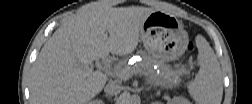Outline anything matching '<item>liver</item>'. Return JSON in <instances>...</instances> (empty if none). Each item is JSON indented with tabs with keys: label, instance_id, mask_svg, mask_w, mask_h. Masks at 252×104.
<instances>
[{
	"label": "liver",
	"instance_id": "1",
	"mask_svg": "<svg viewBox=\"0 0 252 104\" xmlns=\"http://www.w3.org/2000/svg\"><path fill=\"white\" fill-rule=\"evenodd\" d=\"M153 8L105 7L100 3L70 17L42 47L32 66L30 96L38 104H82L99 94L108 76L90 64L109 53L137 47Z\"/></svg>",
	"mask_w": 252,
	"mask_h": 104
}]
</instances>
